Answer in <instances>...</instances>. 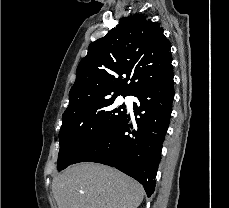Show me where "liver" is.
Masks as SVG:
<instances>
[{
	"instance_id": "1",
	"label": "liver",
	"mask_w": 229,
	"mask_h": 208,
	"mask_svg": "<svg viewBox=\"0 0 229 208\" xmlns=\"http://www.w3.org/2000/svg\"><path fill=\"white\" fill-rule=\"evenodd\" d=\"M52 188L58 208H138L144 196L141 184L93 162L70 166Z\"/></svg>"
}]
</instances>
